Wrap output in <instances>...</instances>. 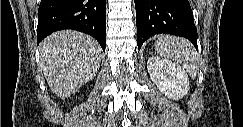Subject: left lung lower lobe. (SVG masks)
<instances>
[{
    "label": "left lung lower lobe",
    "instance_id": "0a47b994",
    "mask_svg": "<svg viewBox=\"0 0 243 127\" xmlns=\"http://www.w3.org/2000/svg\"><path fill=\"white\" fill-rule=\"evenodd\" d=\"M137 44L155 34L187 38L197 46V30L188 0H135Z\"/></svg>",
    "mask_w": 243,
    "mask_h": 127
}]
</instances>
